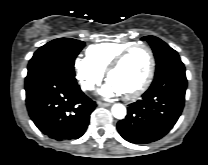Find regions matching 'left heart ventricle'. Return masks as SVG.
Returning a JSON list of instances; mask_svg holds the SVG:
<instances>
[{
  "label": "left heart ventricle",
  "mask_w": 208,
  "mask_h": 165,
  "mask_svg": "<svg viewBox=\"0 0 208 165\" xmlns=\"http://www.w3.org/2000/svg\"><path fill=\"white\" fill-rule=\"evenodd\" d=\"M149 69V55L144 48L134 49L111 72L109 81L112 82L122 94L129 93L139 87L144 81Z\"/></svg>",
  "instance_id": "b2bd125f"
}]
</instances>
